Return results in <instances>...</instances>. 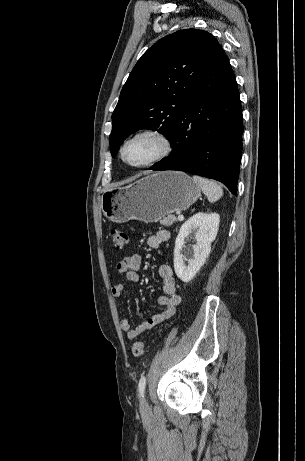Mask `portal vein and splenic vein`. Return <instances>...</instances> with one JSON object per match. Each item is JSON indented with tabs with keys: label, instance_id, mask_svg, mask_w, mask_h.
I'll list each match as a JSON object with an SVG mask.
<instances>
[{
	"label": "portal vein and splenic vein",
	"instance_id": "1",
	"mask_svg": "<svg viewBox=\"0 0 305 461\" xmlns=\"http://www.w3.org/2000/svg\"><path fill=\"white\" fill-rule=\"evenodd\" d=\"M178 220H179V221H183V220H184V216L181 215L180 213H178Z\"/></svg>",
	"mask_w": 305,
	"mask_h": 461
}]
</instances>
